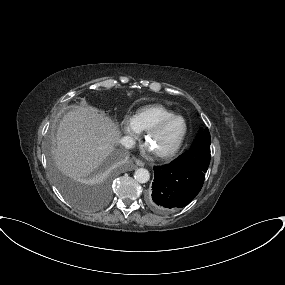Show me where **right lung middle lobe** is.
<instances>
[{"label":"right lung middle lobe","instance_id":"1","mask_svg":"<svg viewBox=\"0 0 285 285\" xmlns=\"http://www.w3.org/2000/svg\"><path fill=\"white\" fill-rule=\"evenodd\" d=\"M51 166H52L53 172L55 174L56 180H57L61 190L65 194V196L70 201H72L73 203L80 205V206H84V203L81 200V198L79 197L78 193L64 179H62L60 177V175L57 173L52 161H51Z\"/></svg>","mask_w":285,"mask_h":285}]
</instances>
